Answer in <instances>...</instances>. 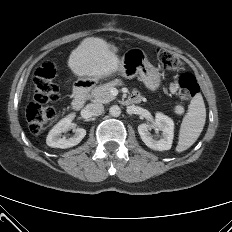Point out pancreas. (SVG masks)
Here are the masks:
<instances>
[{
	"label": "pancreas",
	"instance_id": "1",
	"mask_svg": "<svg viewBox=\"0 0 232 232\" xmlns=\"http://www.w3.org/2000/svg\"><path fill=\"white\" fill-rule=\"evenodd\" d=\"M122 85L121 80H114L107 84H104L102 86L96 87L91 91V94L89 95V99L93 102L98 103H109L115 99V96L111 94V90L115 86Z\"/></svg>",
	"mask_w": 232,
	"mask_h": 232
}]
</instances>
